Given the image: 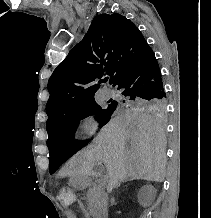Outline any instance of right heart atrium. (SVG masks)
Wrapping results in <instances>:
<instances>
[{"label": "right heart atrium", "mask_w": 211, "mask_h": 218, "mask_svg": "<svg viewBox=\"0 0 211 218\" xmlns=\"http://www.w3.org/2000/svg\"><path fill=\"white\" fill-rule=\"evenodd\" d=\"M99 121L93 114H88L82 117L77 125L78 133L82 136L92 135L98 128Z\"/></svg>", "instance_id": "1"}]
</instances>
